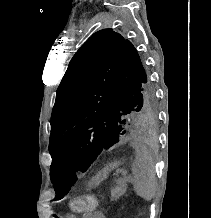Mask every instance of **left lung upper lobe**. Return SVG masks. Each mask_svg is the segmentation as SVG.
Returning <instances> with one entry per match:
<instances>
[{"instance_id": "1", "label": "left lung upper lobe", "mask_w": 211, "mask_h": 218, "mask_svg": "<svg viewBox=\"0 0 211 218\" xmlns=\"http://www.w3.org/2000/svg\"><path fill=\"white\" fill-rule=\"evenodd\" d=\"M154 90L132 43L111 29L94 33L71 59L51 115L50 178L68 193L105 149L156 119Z\"/></svg>"}]
</instances>
